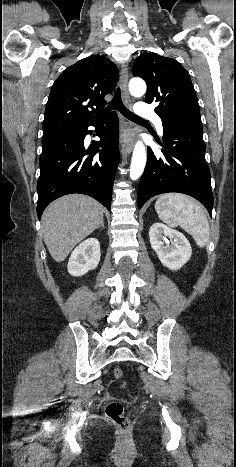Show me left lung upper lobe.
<instances>
[{"label": "left lung upper lobe", "instance_id": "left-lung-upper-lobe-1", "mask_svg": "<svg viewBox=\"0 0 236 467\" xmlns=\"http://www.w3.org/2000/svg\"><path fill=\"white\" fill-rule=\"evenodd\" d=\"M133 75L147 82L145 101L157 102L162 124H201L197 96L189 73L174 59L142 53L133 64Z\"/></svg>", "mask_w": 236, "mask_h": 467}]
</instances>
